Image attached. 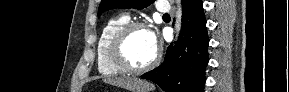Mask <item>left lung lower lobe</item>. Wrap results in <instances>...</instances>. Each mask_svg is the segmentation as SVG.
Listing matches in <instances>:
<instances>
[{
  "instance_id": "0a47b994",
  "label": "left lung lower lobe",
  "mask_w": 289,
  "mask_h": 92,
  "mask_svg": "<svg viewBox=\"0 0 289 92\" xmlns=\"http://www.w3.org/2000/svg\"><path fill=\"white\" fill-rule=\"evenodd\" d=\"M183 18L179 39L168 47L164 62L141 75L165 92H204L208 64L206 19L202 0H182Z\"/></svg>"
}]
</instances>
